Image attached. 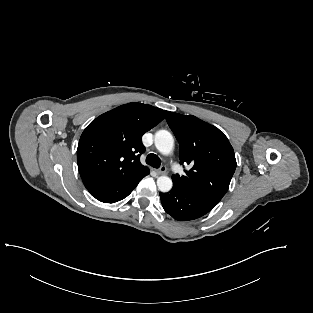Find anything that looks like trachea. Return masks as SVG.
I'll return each instance as SVG.
<instances>
[{"mask_svg":"<svg viewBox=\"0 0 313 313\" xmlns=\"http://www.w3.org/2000/svg\"><path fill=\"white\" fill-rule=\"evenodd\" d=\"M146 163L154 168H159L161 165V160L157 155L151 153L147 156Z\"/></svg>","mask_w":313,"mask_h":313,"instance_id":"3493384b","label":"trachea"}]
</instances>
